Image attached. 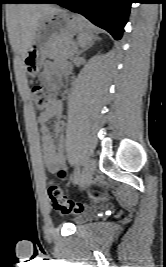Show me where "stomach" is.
Instances as JSON below:
<instances>
[{
	"label": "stomach",
	"mask_w": 166,
	"mask_h": 267,
	"mask_svg": "<svg viewBox=\"0 0 166 267\" xmlns=\"http://www.w3.org/2000/svg\"><path fill=\"white\" fill-rule=\"evenodd\" d=\"M82 21L83 18L61 9L39 20L34 39L24 55L25 69L29 76L35 77L39 73L51 44L59 38L77 33Z\"/></svg>",
	"instance_id": "stomach-1"
}]
</instances>
